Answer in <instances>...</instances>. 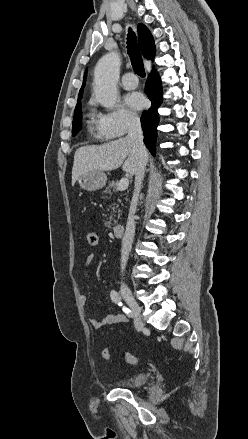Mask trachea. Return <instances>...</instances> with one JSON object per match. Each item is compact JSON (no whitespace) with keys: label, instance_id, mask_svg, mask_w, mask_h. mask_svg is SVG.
Listing matches in <instances>:
<instances>
[{"label":"trachea","instance_id":"3493384b","mask_svg":"<svg viewBox=\"0 0 248 439\" xmlns=\"http://www.w3.org/2000/svg\"><path fill=\"white\" fill-rule=\"evenodd\" d=\"M127 50L128 55L131 59V63L134 71L141 77H145V69L143 65V60L140 54V50L137 44L135 33L129 29L127 37Z\"/></svg>","mask_w":248,"mask_h":439}]
</instances>
